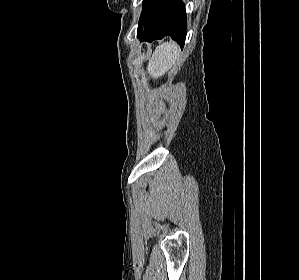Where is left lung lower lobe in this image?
<instances>
[{
	"label": "left lung lower lobe",
	"instance_id": "0a47b994",
	"mask_svg": "<svg viewBox=\"0 0 299 280\" xmlns=\"http://www.w3.org/2000/svg\"><path fill=\"white\" fill-rule=\"evenodd\" d=\"M187 33L185 6L180 0H143L137 37L152 42L170 35L181 47Z\"/></svg>",
	"mask_w": 299,
	"mask_h": 280
}]
</instances>
